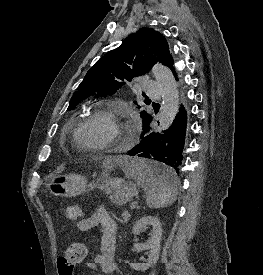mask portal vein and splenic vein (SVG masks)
<instances>
[{"mask_svg": "<svg viewBox=\"0 0 263 275\" xmlns=\"http://www.w3.org/2000/svg\"><path fill=\"white\" fill-rule=\"evenodd\" d=\"M131 209H135V206L133 205V206H131Z\"/></svg>", "mask_w": 263, "mask_h": 275, "instance_id": "obj_1", "label": "portal vein and splenic vein"}]
</instances>
